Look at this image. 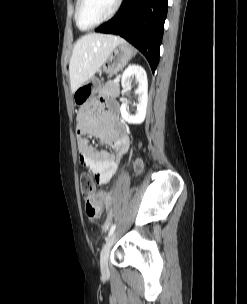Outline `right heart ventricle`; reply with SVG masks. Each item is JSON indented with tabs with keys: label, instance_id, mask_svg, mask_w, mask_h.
Returning <instances> with one entry per match:
<instances>
[{
	"label": "right heart ventricle",
	"instance_id": "1",
	"mask_svg": "<svg viewBox=\"0 0 247 304\" xmlns=\"http://www.w3.org/2000/svg\"><path fill=\"white\" fill-rule=\"evenodd\" d=\"M77 2H78V0H77ZM77 2H76V6H77ZM76 6H75V9H76Z\"/></svg>",
	"mask_w": 247,
	"mask_h": 304
}]
</instances>
